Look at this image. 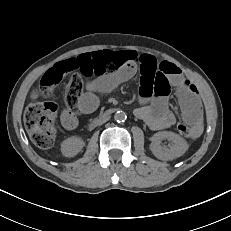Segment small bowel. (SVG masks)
<instances>
[{"mask_svg": "<svg viewBox=\"0 0 231 231\" xmlns=\"http://www.w3.org/2000/svg\"><path fill=\"white\" fill-rule=\"evenodd\" d=\"M140 72L139 105L135 115L151 130L160 131L175 124L176 117L169 109L167 96L171 88L178 91L179 101L186 122L193 125L194 137L203 129V113L195 93L180 87L184 80L181 70L168 61H158L150 54L132 50L96 51L61 61L43 77L54 86L65 74H71L66 92V106L61 112V122L68 130L78 125L77 112L88 114L97 107V95L108 92ZM163 81L168 92L158 87Z\"/></svg>", "mask_w": 231, "mask_h": 231, "instance_id": "small-bowel-1", "label": "small bowel"}]
</instances>
